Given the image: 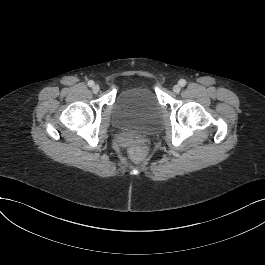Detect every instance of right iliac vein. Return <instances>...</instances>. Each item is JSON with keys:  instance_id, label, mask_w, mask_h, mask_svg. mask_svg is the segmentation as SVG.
Here are the masks:
<instances>
[{"instance_id": "1", "label": "right iliac vein", "mask_w": 265, "mask_h": 265, "mask_svg": "<svg viewBox=\"0 0 265 265\" xmlns=\"http://www.w3.org/2000/svg\"><path fill=\"white\" fill-rule=\"evenodd\" d=\"M92 91L94 92V93H98L99 91H100V87H99V85H93V87H92Z\"/></svg>"}]
</instances>
